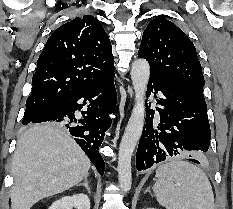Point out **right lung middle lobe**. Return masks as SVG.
<instances>
[{"label":"right lung middle lobe","mask_w":233,"mask_h":209,"mask_svg":"<svg viewBox=\"0 0 233 209\" xmlns=\"http://www.w3.org/2000/svg\"><path fill=\"white\" fill-rule=\"evenodd\" d=\"M50 104H28L26 103L25 115L23 118V125L29 124V122L35 118L40 112L47 108ZM54 125H57L53 123Z\"/></svg>","instance_id":"dd1d6c3e"}]
</instances>
